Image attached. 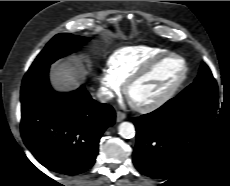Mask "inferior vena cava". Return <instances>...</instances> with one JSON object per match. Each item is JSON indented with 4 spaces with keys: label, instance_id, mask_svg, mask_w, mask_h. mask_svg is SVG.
<instances>
[{
    "label": "inferior vena cava",
    "instance_id": "602c4592",
    "mask_svg": "<svg viewBox=\"0 0 230 186\" xmlns=\"http://www.w3.org/2000/svg\"><path fill=\"white\" fill-rule=\"evenodd\" d=\"M97 97L100 102L105 103L107 101H110L114 95L111 91H108L107 89H100L97 93Z\"/></svg>",
    "mask_w": 230,
    "mask_h": 186
}]
</instances>
